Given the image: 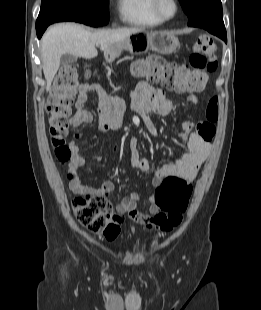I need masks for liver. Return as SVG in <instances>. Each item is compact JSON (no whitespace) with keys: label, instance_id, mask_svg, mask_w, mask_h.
Here are the masks:
<instances>
[{"label":"liver","instance_id":"obj_1","mask_svg":"<svg viewBox=\"0 0 261 310\" xmlns=\"http://www.w3.org/2000/svg\"><path fill=\"white\" fill-rule=\"evenodd\" d=\"M140 31L142 29L121 28L91 32L75 23H59L49 27L41 40L42 68L46 79V89L49 90L51 87L62 55L71 54L91 59L98 55L97 45L106 55L115 44Z\"/></svg>","mask_w":261,"mask_h":310}]
</instances>
